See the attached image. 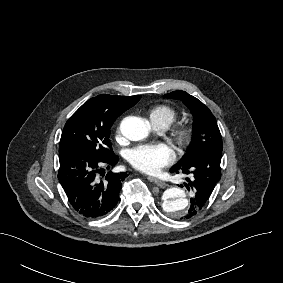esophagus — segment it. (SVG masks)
Instances as JSON below:
<instances>
[{"label":"esophagus","instance_id":"34e87169","mask_svg":"<svg viewBox=\"0 0 283 283\" xmlns=\"http://www.w3.org/2000/svg\"><path fill=\"white\" fill-rule=\"evenodd\" d=\"M150 180L152 182H154L157 186L161 187V188H165L168 186V184L158 178H155V177H150Z\"/></svg>","mask_w":283,"mask_h":283}]
</instances>
